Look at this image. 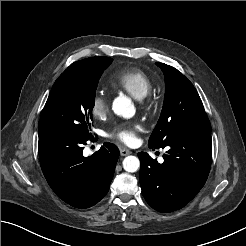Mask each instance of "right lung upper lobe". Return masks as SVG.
Wrapping results in <instances>:
<instances>
[{
    "instance_id": "cb5924a9",
    "label": "right lung upper lobe",
    "mask_w": 246,
    "mask_h": 246,
    "mask_svg": "<svg viewBox=\"0 0 246 246\" xmlns=\"http://www.w3.org/2000/svg\"><path fill=\"white\" fill-rule=\"evenodd\" d=\"M84 60H85V59L80 60V61H77V62H74V63H72L69 67H73V66H76V65H78V64H81L82 62H84Z\"/></svg>"
}]
</instances>
